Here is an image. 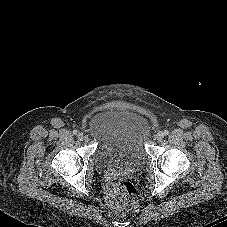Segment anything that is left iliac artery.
<instances>
[{
    "label": "left iliac artery",
    "instance_id": "1",
    "mask_svg": "<svg viewBox=\"0 0 227 227\" xmlns=\"http://www.w3.org/2000/svg\"><path fill=\"white\" fill-rule=\"evenodd\" d=\"M168 133H169L168 130H165V131H164V134H165V135H168Z\"/></svg>",
    "mask_w": 227,
    "mask_h": 227
}]
</instances>
